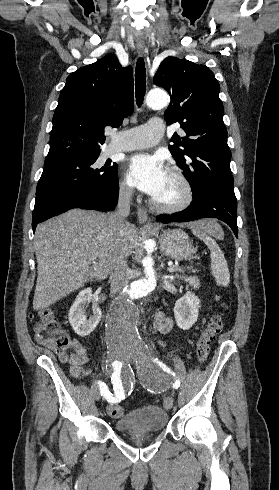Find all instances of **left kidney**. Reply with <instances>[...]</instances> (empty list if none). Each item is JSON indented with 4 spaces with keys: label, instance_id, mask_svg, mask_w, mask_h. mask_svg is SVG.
<instances>
[{
    "label": "left kidney",
    "instance_id": "1",
    "mask_svg": "<svg viewBox=\"0 0 279 490\" xmlns=\"http://www.w3.org/2000/svg\"><path fill=\"white\" fill-rule=\"evenodd\" d=\"M200 304L201 302L198 296H195L193 292H186L183 298H179L175 302L173 312L178 328H181V330H190L196 324L199 316V308H201Z\"/></svg>",
    "mask_w": 279,
    "mask_h": 490
}]
</instances>
